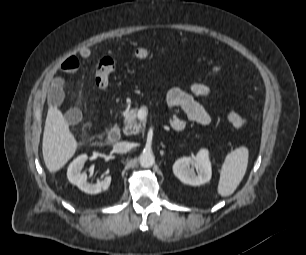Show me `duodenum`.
<instances>
[{
    "label": "duodenum",
    "instance_id": "obj_1",
    "mask_svg": "<svg viewBox=\"0 0 306 255\" xmlns=\"http://www.w3.org/2000/svg\"><path fill=\"white\" fill-rule=\"evenodd\" d=\"M121 137L120 129L117 127H113L109 130L107 134V141L109 143H115L117 142Z\"/></svg>",
    "mask_w": 306,
    "mask_h": 255
}]
</instances>
